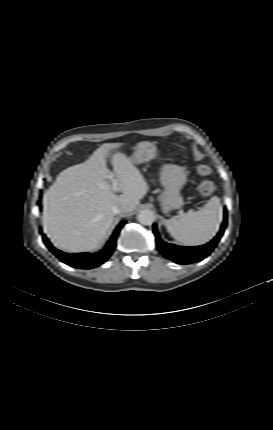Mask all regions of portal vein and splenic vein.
<instances>
[{
    "instance_id": "1",
    "label": "portal vein and splenic vein",
    "mask_w": 273,
    "mask_h": 430,
    "mask_svg": "<svg viewBox=\"0 0 273 430\" xmlns=\"http://www.w3.org/2000/svg\"><path fill=\"white\" fill-rule=\"evenodd\" d=\"M108 178L112 181V186H111V189L113 190V191H119L120 190V188L118 187V180L114 177V173L113 172H111L109 175H108Z\"/></svg>"
}]
</instances>
